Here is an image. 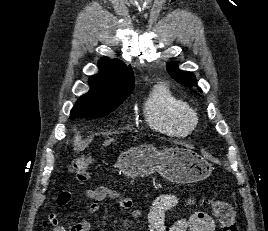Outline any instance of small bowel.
I'll return each instance as SVG.
<instances>
[{
    "label": "small bowel",
    "instance_id": "small-bowel-1",
    "mask_svg": "<svg viewBox=\"0 0 268 231\" xmlns=\"http://www.w3.org/2000/svg\"><path fill=\"white\" fill-rule=\"evenodd\" d=\"M85 197L92 201L90 212L97 213L101 209V202L104 200H112L116 202L122 209L130 210L132 217L142 222L146 231H213L214 223L211 217L203 212H196L189 218H181L173 223L167 229L166 214L179 204V198L174 194H163L156 198L150 205L147 218H143L141 212L133 209L134 202L131 197L124 195L121 191L110 186H99L88 189ZM61 205L66 204V200H61ZM50 223L53 225L52 231H89L90 223L87 219H83L69 227L63 226L56 213L50 214L45 220L44 225Z\"/></svg>",
    "mask_w": 268,
    "mask_h": 231
}]
</instances>
